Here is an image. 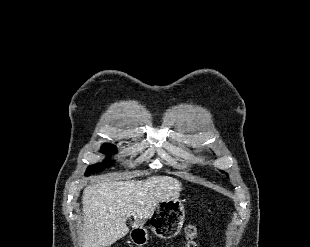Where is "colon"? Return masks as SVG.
<instances>
[{
  "mask_svg": "<svg viewBox=\"0 0 310 247\" xmlns=\"http://www.w3.org/2000/svg\"><path fill=\"white\" fill-rule=\"evenodd\" d=\"M185 236L186 243L184 247H197L196 239L198 236V229L196 225H188L185 229Z\"/></svg>",
  "mask_w": 310,
  "mask_h": 247,
  "instance_id": "1",
  "label": "colon"
}]
</instances>
